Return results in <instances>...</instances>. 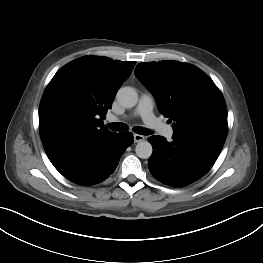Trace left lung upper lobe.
I'll return each instance as SVG.
<instances>
[{
    "instance_id": "1",
    "label": "left lung upper lobe",
    "mask_w": 263,
    "mask_h": 263,
    "mask_svg": "<svg viewBox=\"0 0 263 263\" xmlns=\"http://www.w3.org/2000/svg\"><path fill=\"white\" fill-rule=\"evenodd\" d=\"M136 77L155 96L174 132L225 141L227 108L214 82L199 68L177 61L139 63Z\"/></svg>"
}]
</instances>
